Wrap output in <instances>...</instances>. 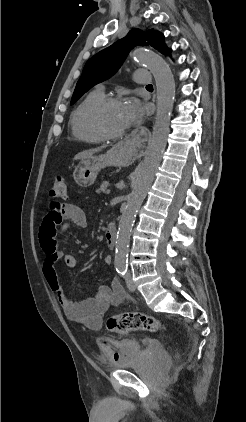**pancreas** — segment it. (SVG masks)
<instances>
[{"mask_svg":"<svg viewBox=\"0 0 246 422\" xmlns=\"http://www.w3.org/2000/svg\"><path fill=\"white\" fill-rule=\"evenodd\" d=\"M106 189H107V181H104L101 184L100 188L97 190V192L98 193H104L106 191Z\"/></svg>","mask_w":246,"mask_h":422,"instance_id":"1","label":"pancreas"}]
</instances>
